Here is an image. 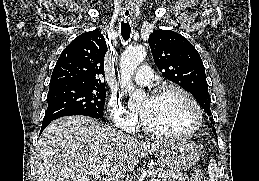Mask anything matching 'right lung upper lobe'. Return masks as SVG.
<instances>
[{"instance_id": "obj_1", "label": "right lung upper lobe", "mask_w": 259, "mask_h": 181, "mask_svg": "<svg viewBox=\"0 0 259 181\" xmlns=\"http://www.w3.org/2000/svg\"><path fill=\"white\" fill-rule=\"evenodd\" d=\"M106 52V41L98 29L79 35L58 58L50 86L75 84L105 87L101 78L104 77Z\"/></svg>"}]
</instances>
